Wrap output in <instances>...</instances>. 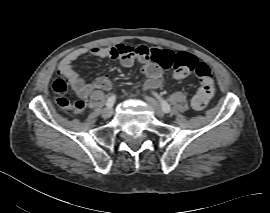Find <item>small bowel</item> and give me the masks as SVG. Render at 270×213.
I'll use <instances>...</instances> for the list:
<instances>
[{"mask_svg":"<svg viewBox=\"0 0 270 213\" xmlns=\"http://www.w3.org/2000/svg\"><path fill=\"white\" fill-rule=\"evenodd\" d=\"M153 52L168 53L171 56L177 54L165 47H155ZM86 54L99 59H117L125 67H131L136 63L135 56L122 57L117 54L115 47L109 46L77 49L68 53L59 63L58 71L60 77L57 80L61 82V86L64 90H66L68 86L72 87L83 102L87 101L96 90L101 88L109 90L113 87V84L107 75L98 77L93 83H86L73 69V63ZM141 72L148 77V80L144 84L145 90H151L160 86L163 76V68L160 65L144 64L141 68Z\"/></svg>","mask_w":270,"mask_h":213,"instance_id":"1","label":"small bowel"}]
</instances>
